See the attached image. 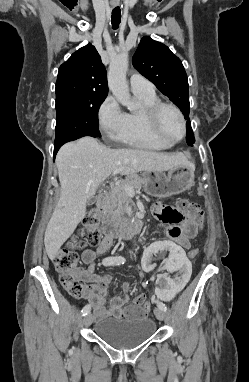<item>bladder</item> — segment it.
Instances as JSON below:
<instances>
[{"mask_svg": "<svg viewBox=\"0 0 249 382\" xmlns=\"http://www.w3.org/2000/svg\"><path fill=\"white\" fill-rule=\"evenodd\" d=\"M151 318L137 320L108 317L95 325L96 335L116 349H131L148 340L155 331Z\"/></svg>", "mask_w": 249, "mask_h": 382, "instance_id": "1", "label": "bladder"}]
</instances>
